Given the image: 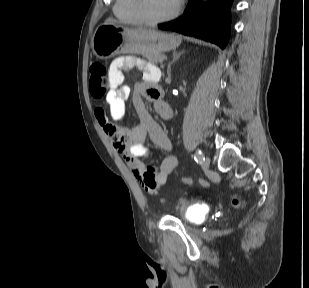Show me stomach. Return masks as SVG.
<instances>
[{"label":"stomach","instance_id":"1","mask_svg":"<svg viewBox=\"0 0 309 288\" xmlns=\"http://www.w3.org/2000/svg\"><path fill=\"white\" fill-rule=\"evenodd\" d=\"M182 38L153 29L127 28L106 22L95 30L91 48L99 59H108L122 53L144 56L161 54L175 49Z\"/></svg>","mask_w":309,"mask_h":288}]
</instances>
